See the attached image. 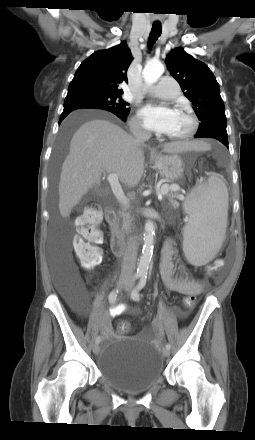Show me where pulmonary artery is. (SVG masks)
Returning a JSON list of instances; mask_svg holds the SVG:
<instances>
[{"label":"pulmonary artery","instance_id":"obj_1","mask_svg":"<svg viewBox=\"0 0 255 440\" xmlns=\"http://www.w3.org/2000/svg\"><path fill=\"white\" fill-rule=\"evenodd\" d=\"M179 92L177 81L170 76L162 77L151 90V94L161 99H174L179 95Z\"/></svg>","mask_w":255,"mask_h":440}]
</instances>
